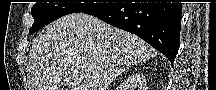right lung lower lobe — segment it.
Returning a JSON list of instances; mask_svg holds the SVG:
<instances>
[{
    "label": "right lung lower lobe",
    "mask_w": 216,
    "mask_h": 90,
    "mask_svg": "<svg viewBox=\"0 0 216 90\" xmlns=\"http://www.w3.org/2000/svg\"><path fill=\"white\" fill-rule=\"evenodd\" d=\"M181 3H108L86 14L136 34L173 64L179 49Z\"/></svg>",
    "instance_id": "1"
}]
</instances>
